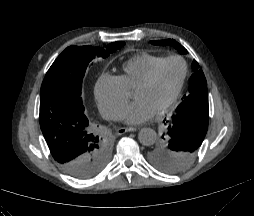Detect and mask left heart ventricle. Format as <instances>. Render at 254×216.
Wrapping results in <instances>:
<instances>
[{
    "mask_svg": "<svg viewBox=\"0 0 254 216\" xmlns=\"http://www.w3.org/2000/svg\"><path fill=\"white\" fill-rule=\"evenodd\" d=\"M182 75V66L177 61L166 63L155 81L148 87L134 90L135 99H141L153 106L156 111L172 98Z\"/></svg>",
    "mask_w": 254,
    "mask_h": 216,
    "instance_id": "obj_1",
    "label": "left heart ventricle"
}]
</instances>
